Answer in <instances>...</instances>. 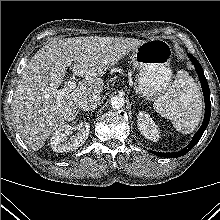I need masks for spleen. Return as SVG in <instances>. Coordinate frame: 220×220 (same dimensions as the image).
<instances>
[{
  "mask_svg": "<svg viewBox=\"0 0 220 220\" xmlns=\"http://www.w3.org/2000/svg\"><path fill=\"white\" fill-rule=\"evenodd\" d=\"M153 107L161 116L170 119L177 131L189 134L201 120L203 97L199 85L186 71L180 70L171 87Z\"/></svg>",
  "mask_w": 220,
  "mask_h": 220,
  "instance_id": "3e777b00",
  "label": "spleen"
}]
</instances>
